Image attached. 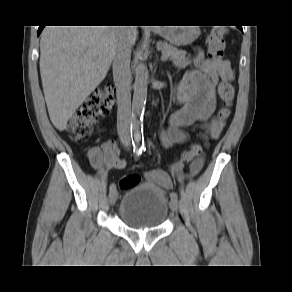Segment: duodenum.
Here are the masks:
<instances>
[{
    "mask_svg": "<svg viewBox=\"0 0 292 292\" xmlns=\"http://www.w3.org/2000/svg\"><path fill=\"white\" fill-rule=\"evenodd\" d=\"M119 105L122 106L124 103V94L122 92H119Z\"/></svg>",
    "mask_w": 292,
    "mask_h": 292,
    "instance_id": "duodenum-1",
    "label": "duodenum"
}]
</instances>
